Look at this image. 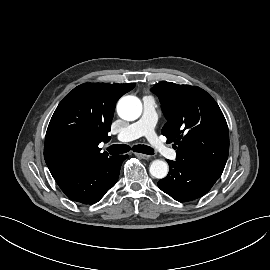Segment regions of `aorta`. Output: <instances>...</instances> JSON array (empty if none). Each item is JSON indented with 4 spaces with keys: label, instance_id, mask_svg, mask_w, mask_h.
<instances>
[{
    "label": "aorta",
    "instance_id": "762f6f07",
    "mask_svg": "<svg viewBox=\"0 0 270 270\" xmlns=\"http://www.w3.org/2000/svg\"><path fill=\"white\" fill-rule=\"evenodd\" d=\"M117 112L122 119L134 121L141 115L142 103L135 96L122 97L117 104ZM149 171L153 177L163 179L168 174V164L162 160H154Z\"/></svg>",
    "mask_w": 270,
    "mask_h": 270
}]
</instances>
